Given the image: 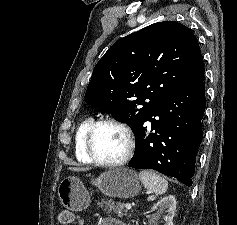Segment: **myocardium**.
<instances>
[{
	"instance_id": "f54148a6",
	"label": "myocardium",
	"mask_w": 237,
	"mask_h": 225,
	"mask_svg": "<svg viewBox=\"0 0 237 225\" xmlns=\"http://www.w3.org/2000/svg\"><path fill=\"white\" fill-rule=\"evenodd\" d=\"M101 125H112L119 128L125 135L127 140V148L125 154L118 160L106 161L97 157L93 149V138L96 130ZM135 150V138L132 130L123 122L114 118H101L94 121L85 136V152L91 161L95 164L106 166V167H119L126 164L132 157Z\"/></svg>"
}]
</instances>
